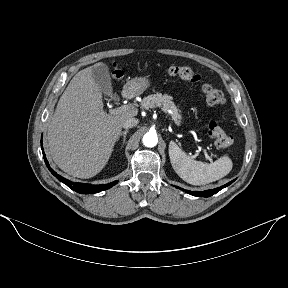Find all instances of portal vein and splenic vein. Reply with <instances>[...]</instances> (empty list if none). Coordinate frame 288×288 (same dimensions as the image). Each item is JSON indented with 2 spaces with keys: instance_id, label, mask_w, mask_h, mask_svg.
Wrapping results in <instances>:
<instances>
[{
  "instance_id": "obj_1",
  "label": "portal vein and splenic vein",
  "mask_w": 288,
  "mask_h": 288,
  "mask_svg": "<svg viewBox=\"0 0 288 288\" xmlns=\"http://www.w3.org/2000/svg\"><path fill=\"white\" fill-rule=\"evenodd\" d=\"M131 109H134L133 105H123V106H120V107L115 108V109H110L109 112L111 114H119L123 111H129ZM200 151H201V148L198 149L197 153H199ZM204 154H205L206 159H210L205 150H204Z\"/></svg>"
}]
</instances>
